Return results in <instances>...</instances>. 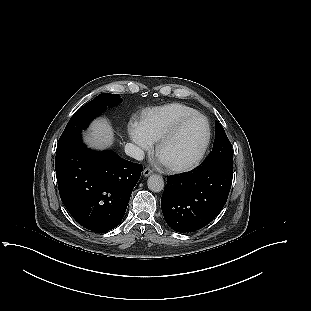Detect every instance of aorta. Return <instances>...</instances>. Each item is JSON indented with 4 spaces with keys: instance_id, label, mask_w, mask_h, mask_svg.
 I'll list each match as a JSON object with an SVG mask.
<instances>
[{
    "instance_id": "aorta-1",
    "label": "aorta",
    "mask_w": 311,
    "mask_h": 311,
    "mask_svg": "<svg viewBox=\"0 0 311 311\" xmlns=\"http://www.w3.org/2000/svg\"><path fill=\"white\" fill-rule=\"evenodd\" d=\"M147 185L152 192H161L164 189V180L162 176L157 174H152L147 180Z\"/></svg>"
}]
</instances>
